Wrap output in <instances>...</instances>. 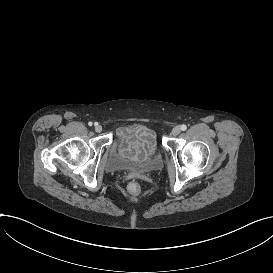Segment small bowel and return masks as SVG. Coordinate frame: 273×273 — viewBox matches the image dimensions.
<instances>
[{"mask_svg":"<svg viewBox=\"0 0 273 273\" xmlns=\"http://www.w3.org/2000/svg\"><path fill=\"white\" fill-rule=\"evenodd\" d=\"M119 135V147L123 154H135L137 159L155 156L156 147L151 131L138 127L135 130L123 129Z\"/></svg>","mask_w":273,"mask_h":273,"instance_id":"1","label":"small bowel"}]
</instances>
